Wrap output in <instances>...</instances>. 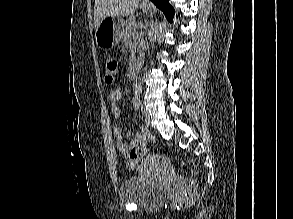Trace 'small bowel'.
Here are the masks:
<instances>
[{
  "mask_svg": "<svg viewBox=\"0 0 293 219\" xmlns=\"http://www.w3.org/2000/svg\"><path fill=\"white\" fill-rule=\"evenodd\" d=\"M122 98V93L119 89H114L109 94V100L111 102V110L113 116L118 119L120 117V101ZM147 129L142 127L140 131L134 134L132 139L129 142L123 140V134L119 126H115L113 129V134L116 140V145L118 150L124 155L127 156L130 150L139 144L143 140V134Z\"/></svg>",
  "mask_w": 293,
  "mask_h": 219,
  "instance_id": "obj_1",
  "label": "small bowel"
}]
</instances>
